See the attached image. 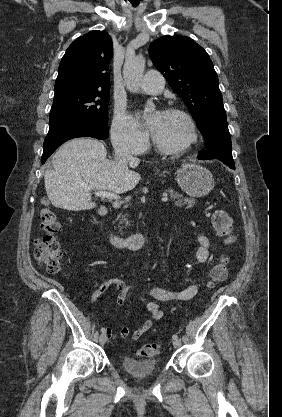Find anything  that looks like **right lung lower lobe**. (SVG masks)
<instances>
[{
  "label": "right lung lower lobe",
  "mask_w": 282,
  "mask_h": 417,
  "mask_svg": "<svg viewBox=\"0 0 282 417\" xmlns=\"http://www.w3.org/2000/svg\"><path fill=\"white\" fill-rule=\"evenodd\" d=\"M108 131L98 128L86 120H70L49 127L48 135L44 141V150L41 162L45 160L65 141L77 137H93L97 139L108 138Z\"/></svg>",
  "instance_id": "right-lung-lower-lobe-1"
}]
</instances>
